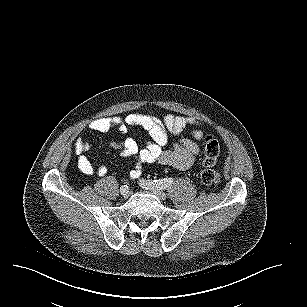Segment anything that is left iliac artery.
Listing matches in <instances>:
<instances>
[{
	"mask_svg": "<svg viewBox=\"0 0 307 307\" xmlns=\"http://www.w3.org/2000/svg\"><path fill=\"white\" fill-rule=\"evenodd\" d=\"M174 182V178H164V179H159V180H154V181H147L144 184V187L147 188L149 186H155L159 188L160 190H164L167 187H169L172 183Z\"/></svg>",
	"mask_w": 307,
	"mask_h": 307,
	"instance_id": "44dca946",
	"label": "left iliac artery"
}]
</instances>
